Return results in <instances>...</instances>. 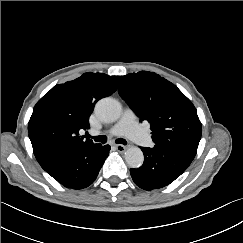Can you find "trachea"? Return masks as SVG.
<instances>
[{
  "instance_id": "3493384b",
  "label": "trachea",
  "mask_w": 243,
  "mask_h": 243,
  "mask_svg": "<svg viewBox=\"0 0 243 243\" xmlns=\"http://www.w3.org/2000/svg\"><path fill=\"white\" fill-rule=\"evenodd\" d=\"M88 138H92L94 139L96 142H101L103 144H105L107 142V137L105 135H100V136H91V135H87ZM115 142L117 144H123V145H126L127 144V141L125 139H122V138H118L115 140Z\"/></svg>"
}]
</instances>
